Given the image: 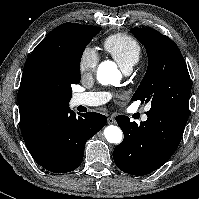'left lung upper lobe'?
<instances>
[{
	"mask_svg": "<svg viewBox=\"0 0 199 199\" xmlns=\"http://www.w3.org/2000/svg\"><path fill=\"white\" fill-rule=\"evenodd\" d=\"M131 33L148 55L146 74L132 100L150 101V110H163L188 119L191 81L178 46L150 27L132 28Z\"/></svg>",
	"mask_w": 199,
	"mask_h": 199,
	"instance_id": "1",
	"label": "left lung upper lobe"
}]
</instances>
